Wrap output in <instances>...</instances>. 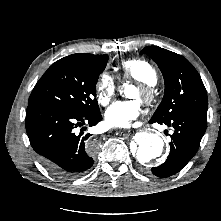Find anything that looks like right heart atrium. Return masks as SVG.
Masks as SVG:
<instances>
[{
    "mask_svg": "<svg viewBox=\"0 0 221 221\" xmlns=\"http://www.w3.org/2000/svg\"><path fill=\"white\" fill-rule=\"evenodd\" d=\"M117 88L118 85L112 75L106 72L101 74L95 86L97 102L103 106L108 104Z\"/></svg>",
    "mask_w": 221,
    "mask_h": 221,
    "instance_id": "d8ad5b80",
    "label": "right heart atrium"
}]
</instances>
